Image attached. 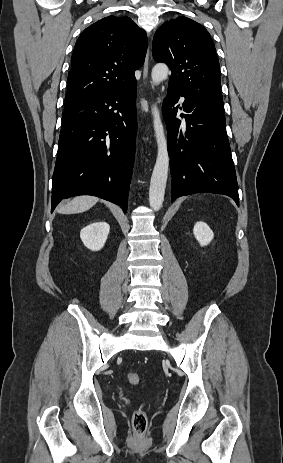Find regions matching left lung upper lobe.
<instances>
[{
	"instance_id": "1",
	"label": "left lung upper lobe",
	"mask_w": 283,
	"mask_h": 463,
	"mask_svg": "<svg viewBox=\"0 0 283 463\" xmlns=\"http://www.w3.org/2000/svg\"><path fill=\"white\" fill-rule=\"evenodd\" d=\"M152 54L170 67L169 85L199 108L225 118L219 61L202 25L187 17L165 22L154 35Z\"/></svg>"
}]
</instances>
